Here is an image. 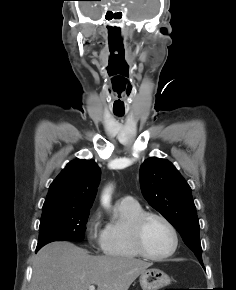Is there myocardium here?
<instances>
[{"mask_svg": "<svg viewBox=\"0 0 236 290\" xmlns=\"http://www.w3.org/2000/svg\"><path fill=\"white\" fill-rule=\"evenodd\" d=\"M150 218H156L162 221L171 232V235L173 238V245H172L171 250L165 254H162V255L151 254L145 247L144 238H143L144 226H145L146 221ZM130 231H131L132 242L137 253L146 259L154 260V261L166 260L170 258L171 256H173L178 249L179 236H178V232L175 226L171 223V221L167 217H165L164 215L158 212L143 211L142 213H140L132 221Z\"/></svg>", "mask_w": 236, "mask_h": 290, "instance_id": "myocardium-1", "label": "myocardium"}]
</instances>
